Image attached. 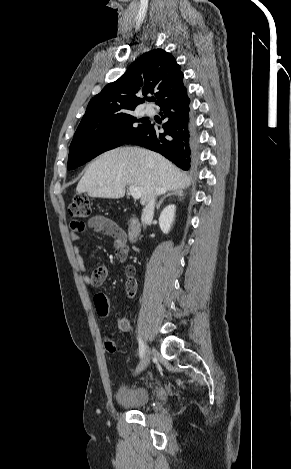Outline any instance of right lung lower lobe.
Instances as JSON below:
<instances>
[{"instance_id": "right-lung-lower-lobe-1", "label": "right lung lower lobe", "mask_w": 291, "mask_h": 469, "mask_svg": "<svg viewBox=\"0 0 291 469\" xmlns=\"http://www.w3.org/2000/svg\"><path fill=\"white\" fill-rule=\"evenodd\" d=\"M189 103L185 87L168 96L158 104L162 110V119L167 120L162 127L148 121L124 144H136L159 152L179 168L189 170L194 154ZM161 128L163 132L159 131Z\"/></svg>"}]
</instances>
